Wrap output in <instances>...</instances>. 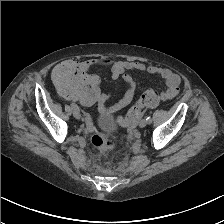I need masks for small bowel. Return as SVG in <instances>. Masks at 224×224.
<instances>
[{"mask_svg":"<svg viewBox=\"0 0 224 224\" xmlns=\"http://www.w3.org/2000/svg\"><path fill=\"white\" fill-rule=\"evenodd\" d=\"M85 69H92L97 67L110 68L113 79L122 76L126 91L122 95L117 104L118 108H123L131 103L136 92V82L133 77L127 73L128 71H140L160 76L166 85V89L161 92L160 99L171 100L179 92L180 77L168 68L158 66H146L140 62L127 60H114L110 58H92L82 63Z\"/></svg>","mask_w":224,"mask_h":224,"instance_id":"small-bowel-1","label":"small bowel"}]
</instances>
